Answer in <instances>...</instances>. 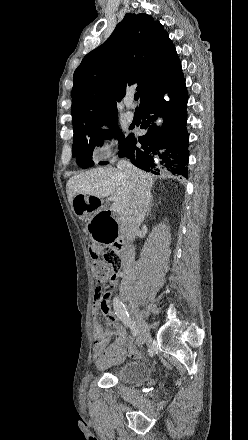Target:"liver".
Here are the masks:
<instances>
[{
    "label": "liver",
    "instance_id": "liver-1",
    "mask_svg": "<svg viewBox=\"0 0 248 440\" xmlns=\"http://www.w3.org/2000/svg\"><path fill=\"white\" fill-rule=\"evenodd\" d=\"M142 172V171H141ZM149 187L153 184V175L142 172ZM134 182L119 169L95 168L71 177L66 184L67 198L72 204L77 194L94 196L99 199L111 197L125 209L134 195Z\"/></svg>",
    "mask_w": 248,
    "mask_h": 440
}]
</instances>
